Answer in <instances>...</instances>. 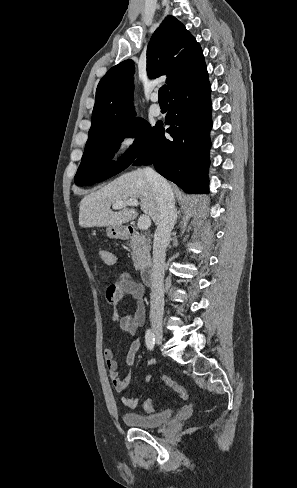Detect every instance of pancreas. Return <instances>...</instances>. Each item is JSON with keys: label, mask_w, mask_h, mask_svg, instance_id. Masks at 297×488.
<instances>
[{"label": "pancreas", "mask_w": 297, "mask_h": 488, "mask_svg": "<svg viewBox=\"0 0 297 488\" xmlns=\"http://www.w3.org/2000/svg\"><path fill=\"white\" fill-rule=\"evenodd\" d=\"M132 260L136 270H142L150 262V241L144 234H135L130 242Z\"/></svg>", "instance_id": "cf45deb5"}]
</instances>
